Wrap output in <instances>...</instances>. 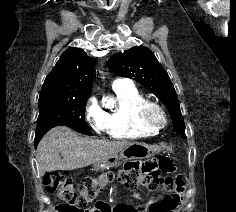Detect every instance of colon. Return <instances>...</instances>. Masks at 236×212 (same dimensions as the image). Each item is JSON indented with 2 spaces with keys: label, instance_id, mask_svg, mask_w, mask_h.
Returning a JSON list of instances; mask_svg holds the SVG:
<instances>
[{
  "label": "colon",
  "instance_id": "5ec220e1",
  "mask_svg": "<svg viewBox=\"0 0 236 212\" xmlns=\"http://www.w3.org/2000/svg\"><path fill=\"white\" fill-rule=\"evenodd\" d=\"M172 170V162L167 158H161L143 163L128 162L116 174L107 171L81 182H76L58 172H49L43 178V185L47 192L55 194L64 203L58 212H83V208L94 202L105 186L114 180L123 185H143L151 191L159 189L170 193L177 191L175 180L162 175Z\"/></svg>",
  "mask_w": 236,
  "mask_h": 212
}]
</instances>
